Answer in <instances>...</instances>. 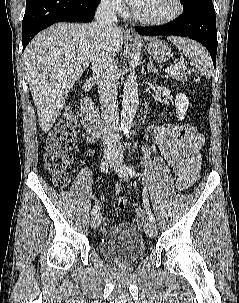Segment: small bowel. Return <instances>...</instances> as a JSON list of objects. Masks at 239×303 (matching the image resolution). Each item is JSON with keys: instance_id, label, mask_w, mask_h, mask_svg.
Segmentation results:
<instances>
[{"instance_id": "c3829d8e", "label": "small bowel", "mask_w": 239, "mask_h": 303, "mask_svg": "<svg viewBox=\"0 0 239 303\" xmlns=\"http://www.w3.org/2000/svg\"><path fill=\"white\" fill-rule=\"evenodd\" d=\"M152 137L174 171L177 188L185 190L191 187L199 175L201 155L205 147L204 136L191 125L163 124L153 129ZM87 140L94 141L92 137ZM87 153L91 154L92 151ZM136 215L140 221L142 213L137 211ZM136 223L137 221L124 222L111 229L110 218L101 216L100 234L107 238L116 234H128L135 230Z\"/></svg>"}]
</instances>
